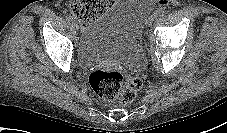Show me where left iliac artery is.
Returning <instances> with one entry per match:
<instances>
[{
    "instance_id": "1",
    "label": "left iliac artery",
    "mask_w": 227,
    "mask_h": 133,
    "mask_svg": "<svg viewBox=\"0 0 227 133\" xmlns=\"http://www.w3.org/2000/svg\"><path fill=\"white\" fill-rule=\"evenodd\" d=\"M154 15H156V17L157 16H163L164 15V10L158 9V10L155 11Z\"/></svg>"
}]
</instances>
